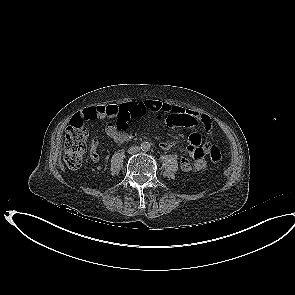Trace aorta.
<instances>
[{
	"label": "aorta",
	"mask_w": 295,
	"mask_h": 295,
	"mask_svg": "<svg viewBox=\"0 0 295 295\" xmlns=\"http://www.w3.org/2000/svg\"><path fill=\"white\" fill-rule=\"evenodd\" d=\"M151 144L149 142H142L141 143V150L142 151H149Z\"/></svg>",
	"instance_id": "1"
}]
</instances>
